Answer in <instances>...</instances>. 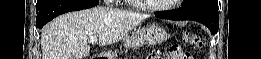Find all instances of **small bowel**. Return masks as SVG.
I'll list each match as a JSON object with an SVG mask.
<instances>
[{
	"label": "small bowel",
	"mask_w": 261,
	"mask_h": 59,
	"mask_svg": "<svg viewBox=\"0 0 261 59\" xmlns=\"http://www.w3.org/2000/svg\"><path fill=\"white\" fill-rule=\"evenodd\" d=\"M159 50H155V51H153L152 53H151V55L149 56V58L150 59H156L153 55L155 54V53H157Z\"/></svg>",
	"instance_id": "small-bowel-1"
}]
</instances>
